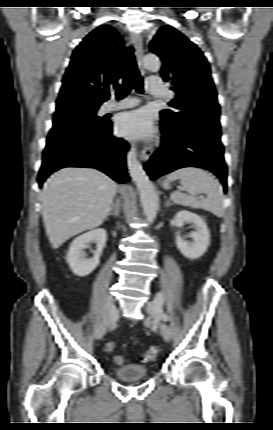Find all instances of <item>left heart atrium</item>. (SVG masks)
<instances>
[{
  "label": "left heart atrium",
  "mask_w": 273,
  "mask_h": 430,
  "mask_svg": "<svg viewBox=\"0 0 273 430\" xmlns=\"http://www.w3.org/2000/svg\"><path fill=\"white\" fill-rule=\"evenodd\" d=\"M117 129L126 138L150 136L153 132L151 114L146 109L125 113L118 120Z\"/></svg>",
  "instance_id": "obj_1"
}]
</instances>
